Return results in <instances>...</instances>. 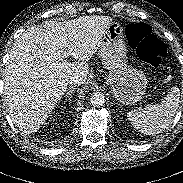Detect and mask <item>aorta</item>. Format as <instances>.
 Wrapping results in <instances>:
<instances>
[{
  "instance_id": "obj_1",
  "label": "aorta",
  "mask_w": 183,
  "mask_h": 183,
  "mask_svg": "<svg viewBox=\"0 0 183 183\" xmlns=\"http://www.w3.org/2000/svg\"><path fill=\"white\" fill-rule=\"evenodd\" d=\"M90 102L95 107L103 106L105 103V96L101 92H94L90 96Z\"/></svg>"
}]
</instances>
